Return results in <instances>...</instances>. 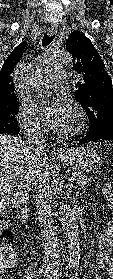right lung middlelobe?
Segmentation results:
<instances>
[{
	"instance_id": "dd1d6c3e",
	"label": "right lung middle lobe",
	"mask_w": 113,
	"mask_h": 279,
	"mask_svg": "<svg viewBox=\"0 0 113 279\" xmlns=\"http://www.w3.org/2000/svg\"><path fill=\"white\" fill-rule=\"evenodd\" d=\"M18 103L0 109V134L20 130L15 115L18 113Z\"/></svg>"
}]
</instances>
